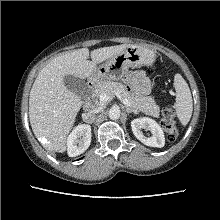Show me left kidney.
Masks as SVG:
<instances>
[{"label":"left kidney","mask_w":220,"mask_h":220,"mask_svg":"<svg viewBox=\"0 0 220 220\" xmlns=\"http://www.w3.org/2000/svg\"><path fill=\"white\" fill-rule=\"evenodd\" d=\"M131 128L135 137L143 144L158 148L165 145L164 133L155 120L148 117L137 118L131 121ZM142 129L149 130L152 136L146 137Z\"/></svg>","instance_id":"obj_1"}]
</instances>
